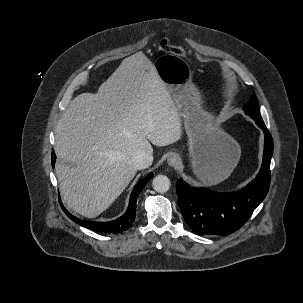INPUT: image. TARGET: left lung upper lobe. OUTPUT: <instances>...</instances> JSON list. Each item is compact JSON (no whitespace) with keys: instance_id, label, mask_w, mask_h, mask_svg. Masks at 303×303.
Returning a JSON list of instances; mask_svg holds the SVG:
<instances>
[{"instance_id":"1","label":"left lung upper lobe","mask_w":303,"mask_h":303,"mask_svg":"<svg viewBox=\"0 0 303 303\" xmlns=\"http://www.w3.org/2000/svg\"><path fill=\"white\" fill-rule=\"evenodd\" d=\"M243 109L246 112V114H248L254 120L263 122L262 117L260 115V110H259V107H258L257 98H256L255 95H253L251 97L250 101H248L244 105Z\"/></svg>"}]
</instances>
